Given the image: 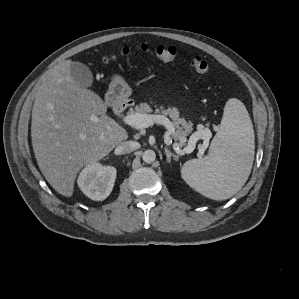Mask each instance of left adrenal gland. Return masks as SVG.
<instances>
[{"label":"left adrenal gland","instance_id":"1","mask_svg":"<svg viewBox=\"0 0 299 299\" xmlns=\"http://www.w3.org/2000/svg\"><path fill=\"white\" fill-rule=\"evenodd\" d=\"M164 150H165L168 163H171V158H173L175 161H178V156L173 154L171 151H169L167 147H165Z\"/></svg>","mask_w":299,"mask_h":299}]
</instances>
